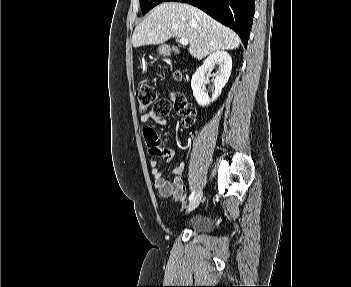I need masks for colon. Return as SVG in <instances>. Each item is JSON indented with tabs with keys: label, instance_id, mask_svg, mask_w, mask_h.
I'll return each instance as SVG.
<instances>
[{
	"label": "colon",
	"instance_id": "1",
	"mask_svg": "<svg viewBox=\"0 0 351 287\" xmlns=\"http://www.w3.org/2000/svg\"><path fill=\"white\" fill-rule=\"evenodd\" d=\"M173 75L175 79H181L183 72L176 69ZM135 94L141 111H145L153 105L156 115L165 116L173 107L181 114L183 126H191L194 122L195 111L182 93L171 92L169 99L157 100L156 88L151 84L141 83L137 86Z\"/></svg>",
	"mask_w": 351,
	"mask_h": 287
}]
</instances>
